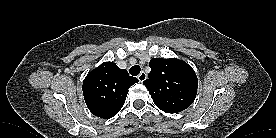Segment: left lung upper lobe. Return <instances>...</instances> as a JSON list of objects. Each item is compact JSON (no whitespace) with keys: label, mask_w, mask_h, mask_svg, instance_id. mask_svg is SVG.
I'll use <instances>...</instances> for the list:
<instances>
[{"label":"left lung upper lobe","mask_w":276,"mask_h":138,"mask_svg":"<svg viewBox=\"0 0 276 138\" xmlns=\"http://www.w3.org/2000/svg\"><path fill=\"white\" fill-rule=\"evenodd\" d=\"M149 66L151 72L143 84L159 109L166 113H178L193 103L198 80L190 65L175 58H153Z\"/></svg>","instance_id":"obj_1"}]
</instances>
